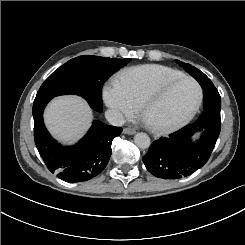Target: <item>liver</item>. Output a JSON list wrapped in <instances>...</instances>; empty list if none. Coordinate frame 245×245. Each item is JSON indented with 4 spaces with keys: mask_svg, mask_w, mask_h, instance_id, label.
I'll list each match as a JSON object with an SVG mask.
<instances>
[{
    "mask_svg": "<svg viewBox=\"0 0 245 245\" xmlns=\"http://www.w3.org/2000/svg\"><path fill=\"white\" fill-rule=\"evenodd\" d=\"M44 119L52 135L64 143L77 141L90 127L92 111L78 96H62L51 101Z\"/></svg>",
    "mask_w": 245,
    "mask_h": 245,
    "instance_id": "1",
    "label": "liver"
}]
</instances>
